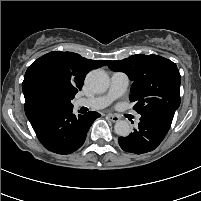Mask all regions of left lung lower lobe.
Here are the masks:
<instances>
[{
	"label": "left lung lower lobe",
	"mask_w": 201,
	"mask_h": 201,
	"mask_svg": "<svg viewBox=\"0 0 201 201\" xmlns=\"http://www.w3.org/2000/svg\"><path fill=\"white\" fill-rule=\"evenodd\" d=\"M172 115L153 113L141 116L138 128L127 137H119L121 148L130 153L143 154L153 151L170 129Z\"/></svg>",
	"instance_id": "0a47b994"
}]
</instances>
